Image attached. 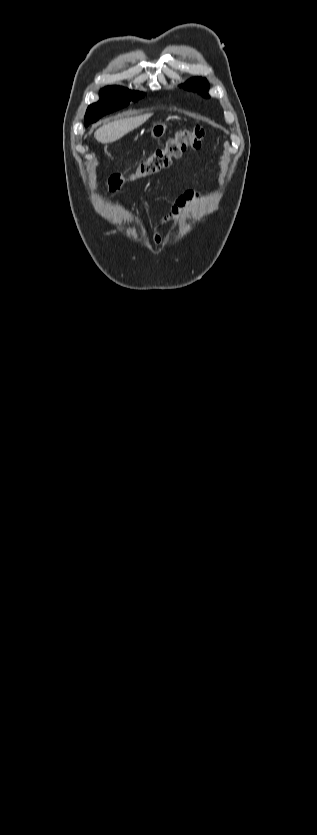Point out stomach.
Listing matches in <instances>:
<instances>
[{
  "label": "stomach",
  "instance_id": "1",
  "mask_svg": "<svg viewBox=\"0 0 317 835\" xmlns=\"http://www.w3.org/2000/svg\"><path fill=\"white\" fill-rule=\"evenodd\" d=\"M168 125L163 122H156L150 128V135L153 139L158 140L165 135Z\"/></svg>",
  "mask_w": 317,
  "mask_h": 835
}]
</instances>
